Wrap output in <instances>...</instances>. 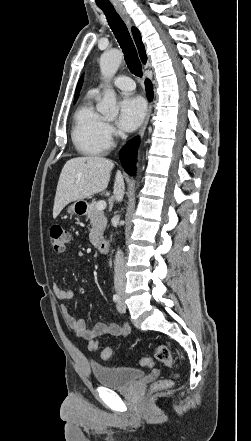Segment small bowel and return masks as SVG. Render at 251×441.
I'll list each match as a JSON object with an SVG mask.
<instances>
[{
  "mask_svg": "<svg viewBox=\"0 0 251 441\" xmlns=\"http://www.w3.org/2000/svg\"><path fill=\"white\" fill-rule=\"evenodd\" d=\"M53 292L56 298L61 301H69L74 296L72 289H64L57 284L53 286ZM61 313L68 327L80 338L88 341H92L94 338L103 335L126 337L130 332V328L127 324L118 325L115 323L101 322L88 328L85 321L83 319H77L66 304L61 306Z\"/></svg>",
  "mask_w": 251,
  "mask_h": 441,
  "instance_id": "small-bowel-1",
  "label": "small bowel"
}]
</instances>
